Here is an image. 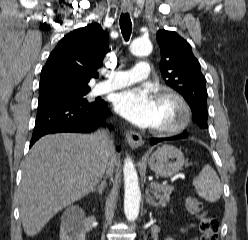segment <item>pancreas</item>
<instances>
[{"mask_svg":"<svg viewBox=\"0 0 248 240\" xmlns=\"http://www.w3.org/2000/svg\"><path fill=\"white\" fill-rule=\"evenodd\" d=\"M173 191V187L168 186H160L158 189H152V193L159 200V204L161 206H166L169 202L170 195Z\"/></svg>","mask_w":248,"mask_h":240,"instance_id":"cf45deb5","label":"pancreas"}]
</instances>
